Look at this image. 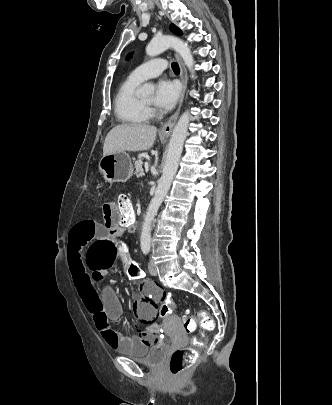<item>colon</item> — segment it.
Instances as JSON below:
<instances>
[{"instance_id": "obj_1", "label": "colon", "mask_w": 332, "mask_h": 405, "mask_svg": "<svg viewBox=\"0 0 332 405\" xmlns=\"http://www.w3.org/2000/svg\"><path fill=\"white\" fill-rule=\"evenodd\" d=\"M113 202L114 208L120 209L121 220L120 223H127L135 216L134 208L131 204L130 198L125 194H119ZM112 203V202H111ZM95 248L88 249V256L90 261V268L93 272H98V275H122L124 263H127V272L130 273L132 281L140 282L144 273L138 262H133L131 256H124L122 253L123 240H95ZM129 279V278H128ZM152 288H163L160 285L154 284ZM164 299L158 301L160 310L155 313L154 320L159 323V328H164V323L167 319H172L173 310L175 308V301L173 297L167 294ZM197 319L200 321L202 327L211 331L213 329V322L205 310L197 312ZM181 322L183 330L190 333L196 326V321L192 319L189 313L184 312L181 314ZM203 334H199L195 340L197 343L203 340ZM162 340H167V335H162ZM197 353L194 348L185 347L179 348L172 352L169 362V370L174 376H178L186 371L196 360Z\"/></svg>"}]
</instances>
